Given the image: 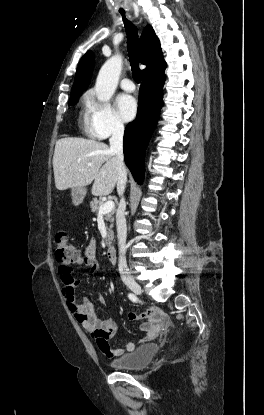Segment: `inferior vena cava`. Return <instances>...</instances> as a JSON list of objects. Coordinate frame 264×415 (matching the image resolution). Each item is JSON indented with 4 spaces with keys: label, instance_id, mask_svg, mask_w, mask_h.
Instances as JSON below:
<instances>
[{
    "label": "inferior vena cava",
    "instance_id": "inferior-vena-cava-1",
    "mask_svg": "<svg viewBox=\"0 0 264 415\" xmlns=\"http://www.w3.org/2000/svg\"><path fill=\"white\" fill-rule=\"evenodd\" d=\"M123 134H124V125L120 122H116L112 131V136L109 139L110 150L115 154V158L118 164V178H117V192L121 197L119 207L116 213V225H117V238L119 246V272L121 276H126L129 274V270L126 263V237H127V227L125 219V209L126 202L123 197L125 190V185L127 181V173L124 165V156H123Z\"/></svg>",
    "mask_w": 264,
    "mask_h": 415
}]
</instances>
